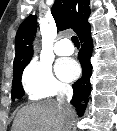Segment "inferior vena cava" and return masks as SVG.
I'll return each mask as SVG.
<instances>
[{
	"label": "inferior vena cava",
	"mask_w": 117,
	"mask_h": 131,
	"mask_svg": "<svg viewBox=\"0 0 117 131\" xmlns=\"http://www.w3.org/2000/svg\"><path fill=\"white\" fill-rule=\"evenodd\" d=\"M73 96V89L69 85H62L60 86L58 90V95H57V101L60 105L63 106L64 110L66 111V114L68 116V128L70 129L71 127V120L74 117V110L72 109V106L70 104V101ZM67 129V131H69Z\"/></svg>",
	"instance_id": "1"
}]
</instances>
